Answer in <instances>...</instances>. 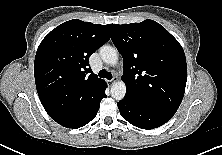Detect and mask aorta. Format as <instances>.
Listing matches in <instances>:
<instances>
[{"instance_id": "1", "label": "aorta", "mask_w": 222, "mask_h": 155, "mask_svg": "<svg viewBox=\"0 0 222 155\" xmlns=\"http://www.w3.org/2000/svg\"><path fill=\"white\" fill-rule=\"evenodd\" d=\"M100 57L106 64L116 65L118 52L116 48L104 45L100 48ZM126 94V85L123 81H115L111 86V96L115 100H122Z\"/></svg>"}]
</instances>
